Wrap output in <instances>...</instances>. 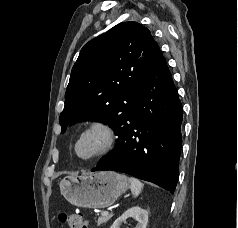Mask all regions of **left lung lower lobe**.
I'll list each match as a JSON object with an SVG mask.
<instances>
[{
  "instance_id": "left-lung-lower-lobe-1",
  "label": "left lung lower lobe",
  "mask_w": 238,
  "mask_h": 228,
  "mask_svg": "<svg viewBox=\"0 0 238 228\" xmlns=\"http://www.w3.org/2000/svg\"><path fill=\"white\" fill-rule=\"evenodd\" d=\"M182 105L159 51L118 133L116 148L92 171L113 170L174 193L182 145Z\"/></svg>"
}]
</instances>
